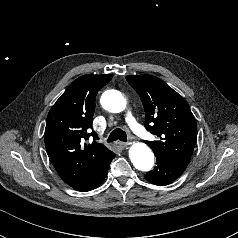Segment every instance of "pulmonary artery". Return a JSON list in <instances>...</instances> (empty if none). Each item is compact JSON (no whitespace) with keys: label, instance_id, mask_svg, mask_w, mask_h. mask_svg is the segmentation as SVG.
<instances>
[{"label":"pulmonary artery","instance_id":"obj_1","mask_svg":"<svg viewBox=\"0 0 238 238\" xmlns=\"http://www.w3.org/2000/svg\"><path fill=\"white\" fill-rule=\"evenodd\" d=\"M126 122L129 125V127L131 128V130L137 134L138 136L142 137V138H147L148 137V133L145 131V129L137 122V120L135 119V117L133 116L132 112L130 110H128L126 112V116H125Z\"/></svg>","mask_w":238,"mask_h":238}]
</instances>
